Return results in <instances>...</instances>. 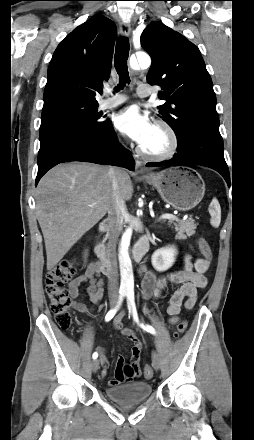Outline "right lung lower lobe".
Masks as SVG:
<instances>
[{"label":"right lung lower lobe","mask_w":254,"mask_h":440,"mask_svg":"<svg viewBox=\"0 0 254 440\" xmlns=\"http://www.w3.org/2000/svg\"><path fill=\"white\" fill-rule=\"evenodd\" d=\"M69 161H84L122 166L129 170L135 169V161L130 151L119 144L109 120L104 121V126L98 133L84 134L79 138L58 142L39 157L35 185L49 169L59 163Z\"/></svg>","instance_id":"right-lung-lower-lobe-1"}]
</instances>
